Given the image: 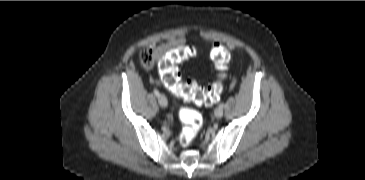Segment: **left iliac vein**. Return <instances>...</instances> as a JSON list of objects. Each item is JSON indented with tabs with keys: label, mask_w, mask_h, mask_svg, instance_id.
Wrapping results in <instances>:
<instances>
[{
	"label": "left iliac vein",
	"mask_w": 365,
	"mask_h": 180,
	"mask_svg": "<svg viewBox=\"0 0 365 180\" xmlns=\"http://www.w3.org/2000/svg\"><path fill=\"white\" fill-rule=\"evenodd\" d=\"M214 115L216 118H221L223 116V109L218 107L214 111Z\"/></svg>",
	"instance_id": "1"
}]
</instances>
